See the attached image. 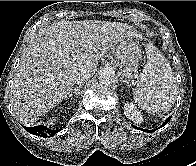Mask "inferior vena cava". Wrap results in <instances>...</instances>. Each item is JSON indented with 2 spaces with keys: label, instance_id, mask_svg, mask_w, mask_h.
Here are the masks:
<instances>
[{
  "label": "inferior vena cava",
  "instance_id": "inferior-vena-cava-1",
  "mask_svg": "<svg viewBox=\"0 0 196 166\" xmlns=\"http://www.w3.org/2000/svg\"><path fill=\"white\" fill-rule=\"evenodd\" d=\"M92 75L90 73L87 72H77L74 75V83L75 84H83L85 83Z\"/></svg>",
  "mask_w": 196,
  "mask_h": 166
}]
</instances>
